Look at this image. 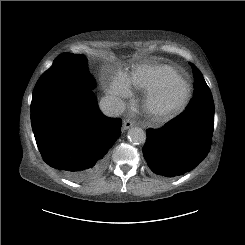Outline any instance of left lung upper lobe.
I'll return each instance as SVG.
<instances>
[{
    "label": "left lung upper lobe",
    "instance_id": "obj_1",
    "mask_svg": "<svg viewBox=\"0 0 245 245\" xmlns=\"http://www.w3.org/2000/svg\"><path fill=\"white\" fill-rule=\"evenodd\" d=\"M192 69H193V73H194V77H195V82H194V95H196V91L200 90L201 84H204L206 86V92L202 95H205L202 97V95L200 96L199 94H197V96L202 97V99H195L194 97L190 100L189 104H192L194 101H207V99L209 98H213L211 91L209 89V87L207 86L202 73L200 72V70L194 66L193 64H191Z\"/></svg>",
    "mask_w": 245,
    "mask_h": 245
}]
</instances>
